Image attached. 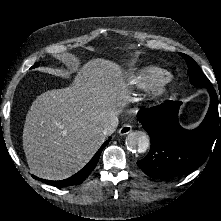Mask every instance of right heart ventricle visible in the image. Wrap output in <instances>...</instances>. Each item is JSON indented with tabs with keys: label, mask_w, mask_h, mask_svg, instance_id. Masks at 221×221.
<instances>
[{
	"label": "right heart ventricle",
	"mask_w": 221,
	"mask_h": 221,
	"mask_svg": "<svg viewBox=\"0 0 221 221\" xmlns=\"http://www.w3.org/2000/svg\"><path fill=\"white\" fill-rule=\"evenodd\" d=\"M166 77L167 72L165 70L156 67H149L135 72L131 80L132 83L140 87L148 88L160 83Z\"/></svg>",
	"instance_id": "obj_1"
}]
</instances>
